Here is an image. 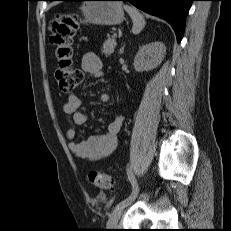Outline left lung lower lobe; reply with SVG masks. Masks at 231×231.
Here are the masks:
<instances>
[{"instance_id":"1","label":"left lung lower lobe","mask_w":231,"mask_h":231,"mask_svg":"<svg viewBox=\"0 0 231 231\" xmlns=\"http://www.w3.org/2000/svg\"><path fill=\"white\" fill-rule=\"evenodd\" d=\"M128 1L144 12L166 20L180 42L185 28L186 15L194 0H118Z\"/></svg>"}]
</instances>
